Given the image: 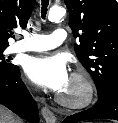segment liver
Wrapping results in <instances>:
<instances>
[{
  "mask_svg": "<svg viewBox=\"0 0 118 123\" xmlns=\"http://www.w3.org/2000/svg\"><path fill=\"white\" fill-rule=\"evenodd\" d=\"M0 123H21L6 107L0 105Z\"/></svg>",
  "mask_w": 118,
  "mask_h": 123,
  "instance_id": "obj_1",
  "label": "liver"
}]
</instances>
